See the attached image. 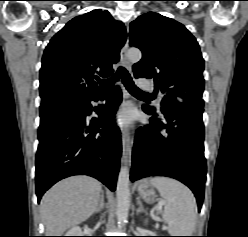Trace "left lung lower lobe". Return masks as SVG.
Returning a JSON list of instances; mask_svg holds the SVG:
<instances>
[{
    "label": "left lung lower lobe",
    "instance_id": "1",
    "mask_svg": "<svg viewBox=\"0 0 248 237\" xmlns=\"http://www.w3.org/2000/svg\"><path fill=\"white\" fill-rule=\"evenodd\" d=\"M152 127L139 128L132 152L131 180L147 176H168L187 185L195 194L200 210L204 198L206 160L204 157L203 107L175 105L164 112L163 121L153 108Z\"/></svg>",
    "mask_w": 248,
    "mask_h": 237
}]
</instances>
